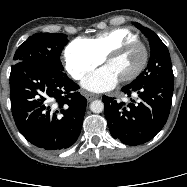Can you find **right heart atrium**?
I'll list each match as a JSON object with an SVG mask.
<instances>
[{"instance_id": "d8ad5b80", "label": "right heart atrium", "mask_w": 187, "mask_h": 187, "mask_svg": "<svg viewBox=\"0 0 187 187\" xmlns=\"http://www.w3.org/2000/svg\"><path fill=\"white\" fill-rule=\"evenodd\" d=\"M64 62L69 74L74 79L80 80L100 65L103 58L92 49L86 39L78 38L66 46Z\"/></svg>"}]
</instances>
